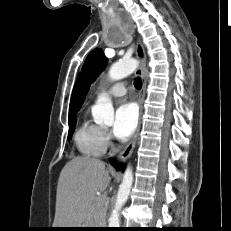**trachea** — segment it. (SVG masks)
Listing matches in <instances>:
<instances>
[{"label": "trachea", "instance_id": "1", "mask_svg": "<svg viewBox=\"0 0 231 231\" xmlns=\"http://www.w3.org/2000/svg\"><path fill=\"white\" fill-rule=\"evenodd\" d=\"M134 86H135V88L136 89H138V90H140L141 89V87H142V80H141V78H136L135 80H134Z\"/></svg>", "mask_w": 231, "mask_h": 231}]
</instances>
